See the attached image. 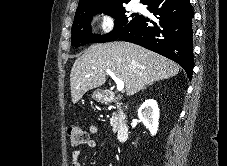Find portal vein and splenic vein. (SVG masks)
Masks as SVG:
<instances>
[{"label": "portal vein and splenic vein", "mask_w": 227, "mask_h": 166, "mask_svg": "<svg viewBox=\"0 0 227 166\" xmlns=\"http://www.w3.org/2000/svg\"><path fill=\"white\" fill-rule=\"evenodd\" d=\"M106 73L115 81L117 91L121 92L124 89V82L120 80L116 75L109 69L106 70Z\"/></svg>", "instance_id": "portal-vein-and-splenic-vein-1"}]
</instances>
